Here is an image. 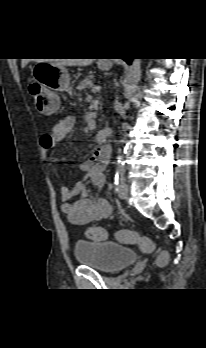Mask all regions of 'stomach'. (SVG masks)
Listing matches in <instances>:
<instances>
[{
  "label": "stomach",
  "instance_id": "obj_1",
  "mask_svg": "<svg viewBox=\"0 0 206 348\" xmlns=\"http://www.w3.org/2000/svg\"><path fill=\"white\" fill-rule=\"evenodd\" d=\"M99 68L108 70L112 63L99 61ZM32 75L34 80L43 88L40 93L34 96L35 107L38 112L50 115L59 108L58 91H66L70 87V76L65 66H58L51 62L37 63ZM50 89L52 91H45Z\"/></svg>",
  "mask_w": 206,
  "mask_h": 348
}]
</instances>
